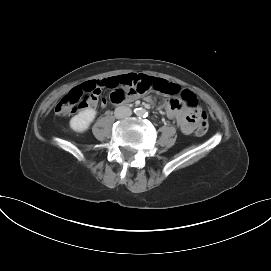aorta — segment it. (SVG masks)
<instances>
[{
	"label": "aorta",
	"mask_w": 271,
	"mask_h": 271,
	"mask_svg": "<svg viewBox=\"0 0 271 271\" xmlns=\"http://www.w3.org/2000/svg\"><path fill=\"white\" fill-rule=\"evenodd\" d=\"M145 113H146L145 109H140V110L137 112V114H138L139 116H143Z\"/></svg>",
	"instance_id": "aorta-1"
}]
</instances>
